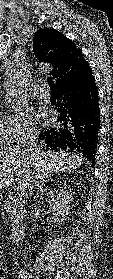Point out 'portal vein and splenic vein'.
Wrapping results in <instances>:
<instances>
[{"label":"portal vein and splenic vein","instance_id":"obj_1","mask_svg":"<svg viewBox=\"0 0 113 279\" xmlns=\"http://www.w3.org/2000/svg\"><path fill=\"white\" fill-rule=\"evenodd\" d=\"M16 189H17L18 194H19L20 196H23L26 187H25V186H22V185H18Z\"/></svg>","mask_w":113,"mask_h":279}]
</instances>
